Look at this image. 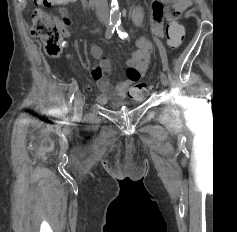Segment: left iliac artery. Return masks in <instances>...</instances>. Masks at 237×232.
<instances>
[{
  "label": "left iliac artery",
  "mask_w": 237,
  "mask_h": 232,
  "mask_svg": "<svg viewBox=\"0 0 237 232\" xmlns=\"http://www.w3.org/2000/svg\"><path fill=\"white\" fill-rule=\"evenodd\" d=\"M116 30H117V33H118V35L121 39L127 38L128 34L124 31V28H123L122 24L117 23ZM154 40H155V42L157 44V47L159 49V52H160V56H161L162 63H163V70L167 71L168 70V67H167V54H166L165 47L159 39L154 38Z\"/></svg>",
  "instance_id": "left-iliac-artery-1"
}]
</instances>
